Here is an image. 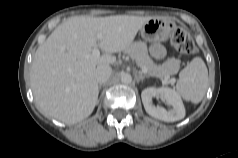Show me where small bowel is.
I'll use <instances>...</instances> for the list:
<instances>
[{"instance_id":"obj_1","label":"small bowel","mask_w":238,"mask_h":158,"mask_svg":"<svg viewBox=\"0 0 238 158\" xmlns=\"http://www.w3.org/2000/svg\"><path fill=\"white\" fill-rule=\"evenodd\" d=\"M152 54L156 57V58H161L164 54V49L162 46L160 45H155L151 48Z\"/></svg>"}]
</instances>
